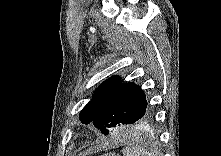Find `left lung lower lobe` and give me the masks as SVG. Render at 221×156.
Listing matches in <instances>:
<instances>
[{
  "mask_svg": "<svg viewBox=\"0 0 221 156\" xmlns=\"http://www.w3.org/2000/svg\"><path fill=\"white\" fill-rule=\"evenodd\" d=\"M151 121H152V115L150 114V116H148L147 118L142 119L140 122H138L135 125L139 126V127H144V126L149 125L151 123Z\"/></svg>",
  "mask_w": 221,
  "mask_h": 156,
  "instance_id": "obj_1",
  "label": "left lung lower lobe"
}]
</instances>
